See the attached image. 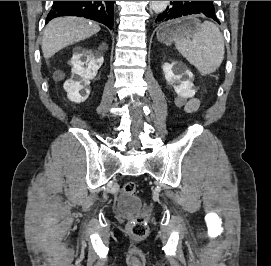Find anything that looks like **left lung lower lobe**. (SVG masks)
I'll return each instance as SVG.
<instances>
[{"label":"left lung lower lobe","mask_w":271,"mask_h":266,"mask_svg":"<svg viewBox=\"0 0 271 266\" xmlns=\"http://www.w3.org/2000/svg\"><path fill=\"white\" fill-rule=\"evenodd\" d=\"M190 14L205 15L220 24L213 1H170V7L158 15L156 22H165Z\"/></svg>","instance_id":"0a47b994"}]
</instances>
